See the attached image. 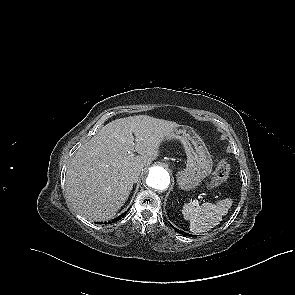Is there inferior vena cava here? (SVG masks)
<instances>
[{
  "label": "inferior vena cava",
  "instance_id": "1",
  "mask_svg": "<svg viewBox=\"0 0 295 295\" xmlns=\"http://www.w3.org/2000/svg\"><path fill=\"white\" fill-rule=\"evenodd\" d=\"M132 178L133 179L137 178V174H133Z\"/></svg>",
  "mask_w": 295,
  "mask_h": 295
}]
</instances>
